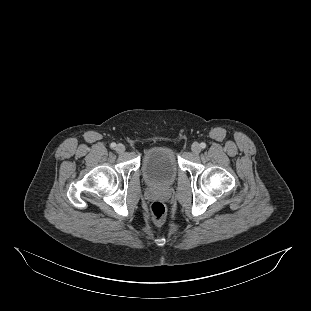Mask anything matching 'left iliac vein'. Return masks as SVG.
I'll use <instances>...</instances> for the list:
<instances>
[{"label":"left iliac vein","mask_w":311,"mask_h":311,"mask_svg":"<svg viewBox=\"0 0 311 311\" xmlns=\"http://www.w3.org/2000/svg\"><path fill=\"white\" fill-rule=\"evenodd\" d=\"M191 149H192L193 153H195V154H199L201 151V147L198 143H193L191 146Z\"/></svg>","instance_id":"4c4485c4"}]
</instances>
